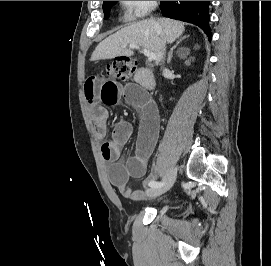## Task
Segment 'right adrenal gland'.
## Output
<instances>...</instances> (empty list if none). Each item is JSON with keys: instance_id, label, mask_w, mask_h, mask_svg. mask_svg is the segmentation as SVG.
<instances>
[{"instance_id": "right-adrenal-gland-1", "label": "right adrenal gland", "mask_w": 271, "mask_h": 266, "mask_svg": "<svg viewBox=\"0 0 271 266\" xmlns=\"http://www.w3.org/2000/svg\"><path fill=\"white\" fill-rule=\"evenodd\" d=\"M187 37H189V36L187 35V36H183L182 38H180V39L176 42V44L170 49L169 54H168V60H167V63H170V62H171L173 50L178 46V44H179L180 42H182V40L186 39Z\"/></svg>"}]
</instances>
